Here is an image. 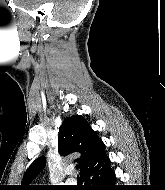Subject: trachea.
<instances>
[{"mask_svg":"<svg viewBox=\"0 0 165 190\" xmlns=\"http://www.w3.org/2000/svg\"><path fill=\"white\" fill-rule=\"evenodd\" d=\"M78 168H79V166L78 165H76V169L78 170Z\"/></svg>","mask_w":165,"mask_h":190,"instance_id":"3493384b","label":"trachea"}]
</instances>
